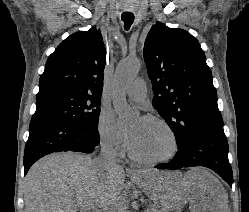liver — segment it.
<instances>
[{
	"mask_svg": "<svg viewBox=\"0 0 249 212\" xmlns=\"http://www.w3.org/2000/svg\"><path fill=\"white\" fill-rule=\"evenodd\" d=\"M137 188L162 208L191 212H229L228 194L206 168L187 174L135 170L130 176ZM125 188L122 166H99L79 152L49 154L31 166L24 182L26 212H111Z\"/></svg>",
	"mask_w": 249,
	"mask_h": 212,
	"instance_id": "obj_1",
	"label": "liver"
}]
</instances>
